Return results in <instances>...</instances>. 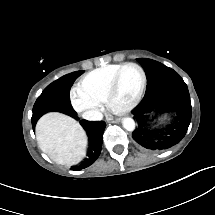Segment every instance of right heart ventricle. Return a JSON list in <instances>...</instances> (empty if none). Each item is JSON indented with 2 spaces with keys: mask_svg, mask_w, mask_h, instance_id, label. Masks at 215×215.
<instances>
[{
  "mask_svg": "<svg viewBox=\"0 0 215 215\" xmlns=\"http://www.w3.org/2000/svg\"><path fill=\"white\" fill-rule=\"evenodd\" d=\"M117 67L118 64H107L83 77L81 90L87 102L97 104L105 99L116 75Z\"/></svg>",
  "mask_w": 215,
  "mask_h": 215,
  "instance_id": "e07e8e85",
  "label": "right heart ventricle"
}]
</instances>
